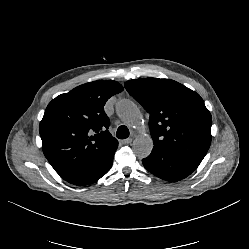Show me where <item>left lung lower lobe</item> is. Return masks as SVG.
Segmentation results:
<instances>
[{"mask_svg":"<svg viewBox=\"0 0 249 249\" xmlns=\"http://www.w3.org/2000/svg\"><path fill=\"white\" fill-rule=\"evenodd\" d=\"M142 162L144 167L155 176L176 182L189 176L201 161L153 148L152 153Z\"/></svg>","mask_w":249,"mask_h":249,"instance_id":"1","label":"left lung lower lobe"}]
</instances>
